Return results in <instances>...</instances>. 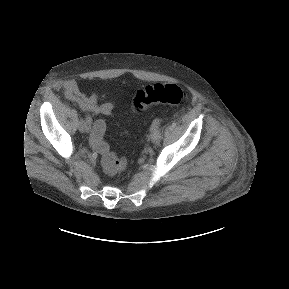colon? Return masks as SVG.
Returning <instances> with one entry per match:
<instances>
[{"label":"colon","instance_id":"5ec220e1","mask_svg":"<svg viewBox=\"0 0 289 289\" xmlns=\"http://www.w3.org/2000/svg\"><path fill=\"white\" fill-rule=\"evenodd\" d=\"M183 98L184 92L176 84L156 83L138 90L131 99V108L135 112H141L156 104L178 105ZM105 129V120L98 119L94 123V132L91 136V141L93 148L101 156L103 170L110 175H115L126 168L127 160L118 157L111 151L108 143L103 140Z\"/></svg>","mask_w":289,"mask_h":289}]
</instances>
